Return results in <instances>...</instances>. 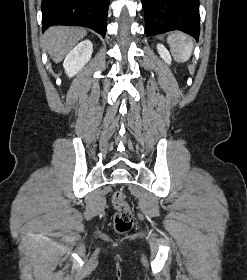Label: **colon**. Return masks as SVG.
Wrapping results in <instances>:
<instances>
[{"label": "colon", "instance_id": "1", "mask_svg": "<svg viewBox=\"0 0 247 280\" xmlns=\"http://www.w3.org/2000/svg\"><path fill=\"white\" fill-rule=\"evenodd\" d=\"M112 203L116 210L114 228L119 233L127 232L133 224V215L124 191L119 190L113 194Z\"/></svg>", "mask_w": 247, "mask_h": 280}]
</instances>
